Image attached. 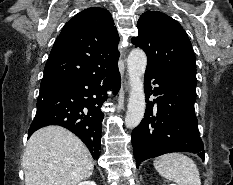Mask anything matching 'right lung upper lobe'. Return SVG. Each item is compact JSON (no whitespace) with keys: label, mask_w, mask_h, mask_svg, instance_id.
Instances as JSON below:
<instances>
[{"label":"right lung upper lobe","mask_w":233,"mask_h":185,"mask_svg":"<svg viewBox=\"0 0 233 185\" xmlns=\"http://www.w3.org/2000/svg\"><path fill=\"white\" fill-rule=\"evenodd\" d=\"M119 36L111 14L91 7L76 14L56 39L41 84L95 74L118 66Z\"/></svg>","instance_id":"cb5924a9"}]
</instances>
